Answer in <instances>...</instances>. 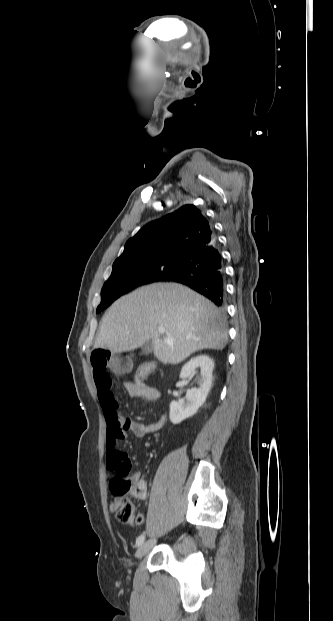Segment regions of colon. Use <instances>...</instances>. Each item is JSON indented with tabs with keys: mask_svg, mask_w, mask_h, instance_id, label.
<instances>
[{
	"mask_svg": "<svg viewBox=\"0 0 333 621\" xmlns=\"http://www.w3.org/2000/svg\"><path fill=\"white\" fill-rule=\"evenodd\" d=\"M153 368L152 364L141 365L136 370L133 381L127 383L133 386L139 381H144L153 371ZM128 473V468H115L112 470L109 486L115 499L111 503V510L115 512L116 519L121 523L141 524L143 521L142 516L136 514L134 505L127 498V495L136 489Z\"/></svg>",
	"mask_w": 333,
	"mask_h": 621,
	"instance_id": "colon-1",
	"label": "colon"
}]
</instances>
